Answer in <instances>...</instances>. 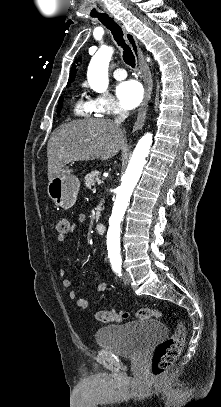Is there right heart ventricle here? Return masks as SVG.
<instances>
[{
	"instance_id": "1",
	"label": "right heart ventricle",
	"mask_w": 221,
	"mask_h": 407,
	"mask_svg": "<svg viewBox=\"0 0 221 407\" xmlns=\"http://www.w3.org/2000/svg\"><path fill=\"white\" fill-rule=\"evenodd\" d=\"M72 110L74 115L81 117H91L94 113L90 101L85 100L81 96L75 98Z\"/></svg>"
}]
</instances>
